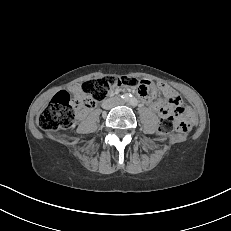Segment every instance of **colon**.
<instances>
[{
	"label": "colon",
	"mask_w": 231,
	"mask_h": 231,
	"mask_svg": "<svg viewBox=\"0 0 231 231\" xmlns=\"http://www.w3.org/2000/svg\"><path fill=\"white\" fill-rule=\"evenodd\" d=\"M116 86H124L137 91L142 96L153 94L152 85L149 82L139 80L131 76L110 75L84 82L81 85L82 99L71 98L67 92H58L44 109L38 118L39 126L45 131H55L60 128H68L73 125L76 112L80 108H91L96 102L103 100L109 91ZM170 105L169 99H166ZM192 111L178 105L176 109L162 116L160 132L169 134L178 132L186 134L191 128L190 119Z\"/></svg>",
	"instance_id": "colon-1"
}]
</instances>
